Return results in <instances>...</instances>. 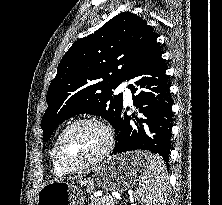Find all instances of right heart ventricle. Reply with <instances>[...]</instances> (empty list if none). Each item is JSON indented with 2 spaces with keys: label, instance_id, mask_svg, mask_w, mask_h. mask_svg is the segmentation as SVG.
<instances>
[{
  "label": "right heart ventricle",
  "instance_id": "e07e8e85",
  "mask_svg": "<svg viewBox=\"0 0 222 205\" xmlns=\"http://www.w3.org/2000/svg\"><path fill=\"white\" fill-rule=\"evenodd\" d=\"M51 163H52L53 172L58 176H63V175H66L70 172V171L63 169L62 167H60L57 164V162L54 158L53 149L51 151Z\"/></svg>",
  "mask_w": 222,
  "mask_h": 205
}]
</instances>
